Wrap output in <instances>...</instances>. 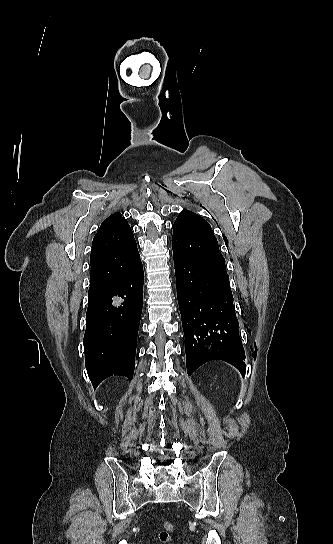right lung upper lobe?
Returning <instances> with one entry per match:
<instances>
[{
  "mask_svg": "<svg viewBox=\"0 0 333 544\" xmlns=\"http://www.w3.org/2000/svg\"><path fill=\"white\" fill-rule=\"evenodd\" d=\"M90 262L89 295L112 286L141 262L133 232L119 212L102 222L93 239Z\"/></svg>",
  "mask_w": 333,
  "mask_h": 544,
  "instance_id": "cb5924a9",
  "label": "right lung upper lobe"
}]
</instances>
